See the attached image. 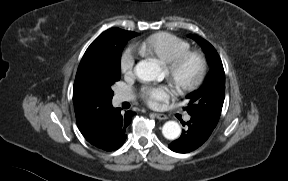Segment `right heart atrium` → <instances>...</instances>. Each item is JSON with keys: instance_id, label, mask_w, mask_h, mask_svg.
Instances as JSON below:
<instances>
[{"instance_id": "obj_1", "label": "right heart atrium", "mask_w": 288, "mask_h": 181, "mask_svg": "<svg viewBox=\"0 0 288 181\" xmlns=\"http://www.w3.org/2000/svg\"><path fill=\"white\" fill-rule=\"evenodd\" d=\"M136 64V54L133 48H127L120 58V70L125 76H131Z\"/></svg>"}]
</instances>
